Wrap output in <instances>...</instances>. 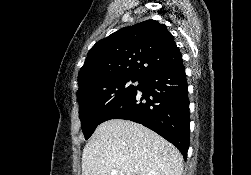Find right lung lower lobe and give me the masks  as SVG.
Segmentation results:
<instances>
[{"label": "right lung lower lobe", "instance_id": "obj_1", "mask_svg": "<svg viewBox=\"0 0 251 175\" xmlns=\"http://www.w3.org/2000/svg\"><path fill=\"white\" fill-rule=\"evenodd\" d=\"M139 83L103 115L101 123L110 119L140 123L175 145L186 159L190 114L183 61L155 70Z\"/></svg>", "mask_w": 251, "mask_h": 175}]
</instances>
